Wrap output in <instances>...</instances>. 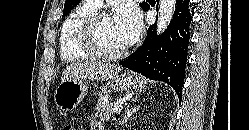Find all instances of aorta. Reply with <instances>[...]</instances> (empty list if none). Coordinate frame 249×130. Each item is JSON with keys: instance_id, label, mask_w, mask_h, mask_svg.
Masks as SVG:
<instances>
[{"instance_id": "obj_1", "label": "aorta", "mask_w": 249, "mask_h": 130, "mask_svg": "<svg viewBox=\"0 0 249 130\" xmlns=\"http://www.w3.org/2000/svg\"><path fill=\"white\" fill-rule=\"evenodd\" d=\"M175 0H160L157 20V34L160 35L169 25L175 10Z\"/></svg>"}]
</instances>
